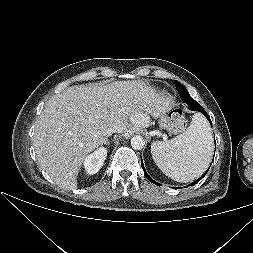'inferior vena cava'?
<instances>
[{"mask_svg":"<svg viewBox=\"0 0 253 253\" xmlns=\"http://www.w3.org/2000/svg\"><path fill=\"white\" fill-rule=\"evenodd\" d=\"M115 132H120V129L110 128V129L106 130V135L108 136V135H111L112 133H115Z\"/></svg>","mask_w":253,"mask_h":253,"instance_id":"1","label":"inferior vena cava"}]
</instances>
